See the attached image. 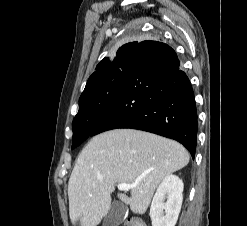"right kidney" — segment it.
<instances>
[{
    "instance_id": "obj_1",
    "label": "right kidney",
    "mask_w": 247,
    "mask_h": 226,
    "mask_svg": "<svg viewBox=\"0 0 247 226\" xmlns=\"http://www.w3.org/2000/svg\"><path fill=\"white\" fill-rule=\"evenodd\" d=\"M182 192L183 182L178 176L168 175L163 179L150 207L152 226H175L183 201Z\"/></svg>"
}]
</instances>
